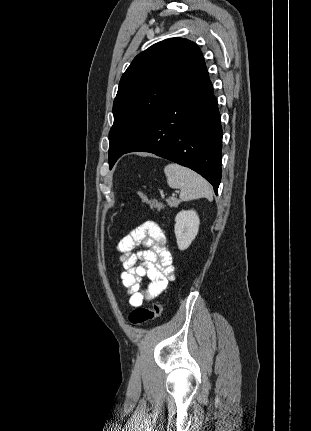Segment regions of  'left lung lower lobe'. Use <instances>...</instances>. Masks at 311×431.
Returning a JSON list of instances; mask_svg holds the SVG:
<instances>
[{"label":"left lung lower lobe","mask_w":311,"mask_h":431,"mask_svg":"<svg viewBox=\"0 0 311 431\" xmlns=\"http://www.w3.org/2000/svg\"><path fill=\"white\" fill-rule=\"evenodd\" d=\"M222 128L205 63L165 104L146 133L124 154L150 152L186 166L217 189L221 180Z\"/></svg>","instance_id":"0a47b994"}]
</instances>
